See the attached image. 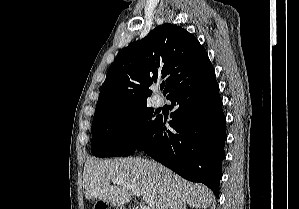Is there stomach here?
Wrapping results in <instances>:
<instances>
[{"instance_id": "stomach-1", "label": "stomach", "mask_w": 299, "mask_h": 209, "mask_svg": "<svg viewBox=\"0 0 299 209\" xmlns=\"http://www.w3.org/2000/svg\"><path fill=\"white\" fill-rule=\"evenodd\" d=\"M94 209H111V206L108 202L103 200H97L94 204ZM116 209H124L122 206H117Z\"/></svg>"}]
</instances>
